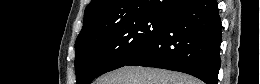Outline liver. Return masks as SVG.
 I'll use <instances>...</instances> for the list:
<instances>
[{
    "mask_svg": "<svg viewBox=\"0 0 260 84\" xmlns=\"http://www.w3.org/2000/svg\"><path fill=\"white\" fill-rule=\"evenodd\" d=\"M95 84H201V82L181 72L124 66L100 77Z\"/></svg>",
    "mask_w": 260,
    "mask_h": 84,
    "instance_id": "1",
    "label": "liver"
}]
</instances>
